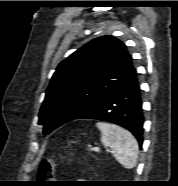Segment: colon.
I'll return each mask as SVG.
<instances>
[{
  "mask_svg": "<svg viewBox=\"0 0 178 186\" xmlns=\"http://www.w3.org/2000/svg\"><path fill=\"white\" fill-rule=\"evenodd\" d=\"M55 157L50 156L39 163L37 177L43 182H52L55 177Z\"/></svg>",
  "mask_w": 178,
  "mask_h": 186,
  "instance_id": "colon-1",
  "label": "colon"
}]
</instances>
